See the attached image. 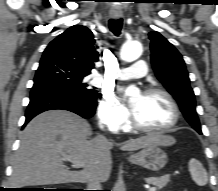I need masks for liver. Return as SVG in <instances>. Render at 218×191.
Wrapping results in <instances>:
<instances>
[{
	"instance_id": "6515ba94",
	"label": "liver",
	"mask_w": 218,
	"mask_h": 191,
	"mask_svg": "<svg viewBox=\"0 0 218 191\" xmlns=\"http://www.w3.org/2000/svg\"><path fill=\"white\" fill-rule=\"evenodd\" d=\"M89 123L65 110L46 111L31 120L22 132L20 146L13 160L12 186H37L88 182L98 173L108 180L112 169L110 149L113 142L104 136L92 140ZM175 139L151 134L124 142L120 149L134 151L149 145L171 146ZM65 153L85 163L80 171H70L64 164Z\"/></svg>"
}]
</instances>
